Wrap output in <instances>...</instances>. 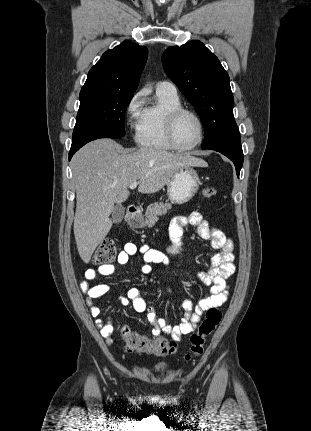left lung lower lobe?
<instances>
[{"instance_id": "left-lung-lower-lobe-1", "label": "left lung lower lobe", "mask_w": 311, "mask_h": 431, "mask_svg": "<svg viewBox=\"0 0 311 431\" xmlns=\"http://www.w3.org/2000/svg\"><path fill=\"white\" fill-rule=\"evenodd\" d=\"M215 150L228 157L235 165L237 176L239 177L240 169L243 165V151L241 141H231L207 148Z\"/></svg>"}]
</instances>
